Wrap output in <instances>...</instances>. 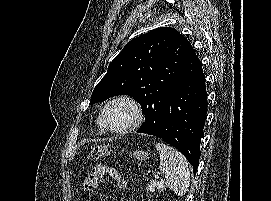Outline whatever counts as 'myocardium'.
I'll return each instance as SVG.
<instances>
[{"label": "myocardium", "mask_w": 271, "mask_h": 201, "mask_svg": "<svg viewBox=\"0 0 271 201\" xmlns=\"http://www.w3.org/2000/svg\"><path fill=\"white\" fill-rule=\"evenodd\" d=\"M117 102L127 103L132 108V110L134 112L133 122L130 125H128L124 128H121V129H115V128L111 127L106 120L107 109L109 108V106H111L112 104L117 103ZM100 120H101V123L106 131L114 133V134H125V133H129V132H133V131L137 130L142 125V123L144 121V114H143V110H142L141 105L139 104V102L136 99H134L133 97L128 96V95H118V96H115V97L109 99L104 104V106L102 107L101 112H100Z\"/></svg>", "instance_id": "myocardium-1"}]
</instances>
